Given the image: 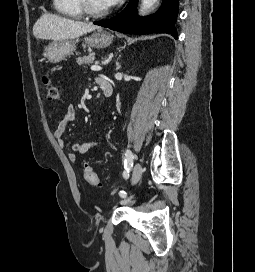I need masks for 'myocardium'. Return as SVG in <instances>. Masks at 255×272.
<instances>
[{
	"mask_svg": "<svg viewBox=\"0 0 255 272\" xmlns=\"http://www.w3.org/2000/svg\"><path fill=\"white\" fill-rule=\"evenodd\" d=\"M78 1H79V5H80V8H81L83 14H85L89 17L100 18V17H104V16L108 15V13H109L108 9L101 11V12L93 10L90 6L89 0H78Z\"/></svg>",
	"mask_w": 255,
	"mask_h": 272,
	"instance_id": "myocardium-1",
	"label": "myocardium"
}]
</instances>
